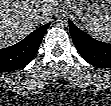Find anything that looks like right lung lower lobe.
I'll use <instances>...</instances> for the list:
<instances>
[{
	"label": "right lung lower lobe",
	"mask_w": 111,
	"mask_h": 106,
	"mask_svg": "<svg viewBox=\"0 0 111 106\" xmlns=\"http://www.w3.org/2000/svg\"><path fill=\"white\" fill-rule=\"evenodd\" d=\"M49 24L36 29L17 44L0 49V72H10L27 65L36 54Z\"/></svg>",
	"instance_id": "1"
}]
</instances>
